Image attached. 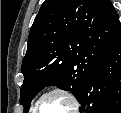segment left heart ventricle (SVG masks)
<instances>
[{"instance_id":"b2bd125f","label":"left heart ventricle","mask_w":121,"mask_h":113,"mask_svg":"<svg viewBox=\"0 0 121 113\" xmlns=\"http://www.w3.org/2000/svg\"><path fill=\"white\" fill-rule=\"evenodd\" d=\"M71 109L70 103L59 94L46 97L39 105V113H61Z\"/></svg>"}]
</instances>
